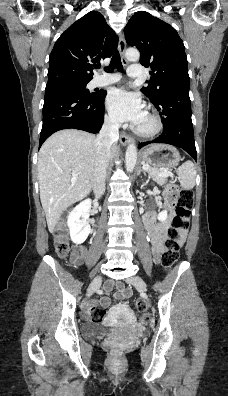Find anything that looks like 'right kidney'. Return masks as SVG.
<instances>
[{"instance_id":"ca27d5eb","label":"right kidney","mask_w":228,"mask_h":396,"mask_svg":"<svg viewBox=\"0 0 228 396\" xmlns=\"http://www.w3.org/2000/svg\"><path fill=\"white\" fill-rule=\"evenodd\" d=\"M91 200L87 199L78 204L68 215L67 225L73 243L82 244L91 232L89 212Z\"/></svg>"}]
</instances>
